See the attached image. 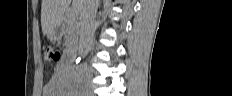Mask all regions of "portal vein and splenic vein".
<instances>
[{
    "label": "portal vein and splenic vein",
    "mask_w": 232,
    "mask_h": 96,
    "mask_svg": "<svg viewBox=\"0 0 232 96\" xmlns=\"http://www.w3.org/2000/svg\"><path fill=\"white\" fill-rule=\"evenodd\" d=\"M73 8L77 9V5H78V0H73Z\"/></svg>",
    "instance_id": "1"
}]
</instances>
